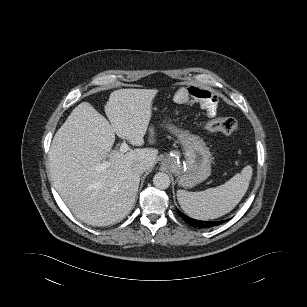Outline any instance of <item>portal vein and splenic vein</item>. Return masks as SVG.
I'll use <instances>...</instances> for the list:
<instances>
[{"label":"portal vein and splenic vein","mask_w":307,"mask_h":307,"mask_svg":"<svg viewBox=\"0 0 307 307\" xmlns=\"http://www.w3.org/2000/svg\"><path fill=\"white\" fill-rule=\"evenodd\" d=\"M129 150V146L126 142L121 143L120 146V152L121 153H125ZM111 165L110 161H103L101 164H99L96 169L99 171H103L105 169H107L109 166Z\"/></svg>","instance_id":"portal-vein-and-splenic-vein-1"}]
</instances>
